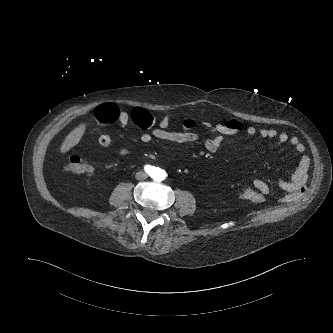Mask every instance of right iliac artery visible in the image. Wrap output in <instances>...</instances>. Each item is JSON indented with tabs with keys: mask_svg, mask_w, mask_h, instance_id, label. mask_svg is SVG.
<instances>
[{
	"mask_svg": "<svg viewBox=\"0 0 333 333\" xmlns=\"http://www.w3.org/2000/svg\"><path fill=\"white\" fill-rule=\"evenodd\" d=\"M153 170H154V166H151V165H146L145 166V171L147 173H151Z\"/></svg>",
	"mask_w": 333,
	"mask_h": 333,
	"instance_id": "right-iliac-artery-1",
	"label": "right iliac artery"
}]
</instances>
